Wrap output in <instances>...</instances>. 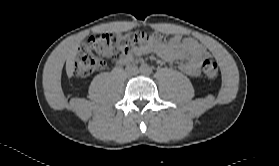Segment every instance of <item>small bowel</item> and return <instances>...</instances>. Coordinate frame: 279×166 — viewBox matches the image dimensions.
<instances>
[{
    "mask_svg": "<svg viewBox=\"0 0 279 166\" xmlns=\"http://www.w3.org/2000/svg\"><path fill=\"white\" fill-rule=\"evenodd\" d=\"M153 51L166 62L183 60L180 68L189 76L195 77L200 73V61L206 55V49L192 38L176 36L166 44L149 42L136 47L131 54L121 60L122 64H129L134 57L142 56Z\"/></svg>",
    "mask_w": 279,
    "mask_h": 166,
    "instance_id": "c3829d8e",
    "label": "small bowel"
}]
</instances>
